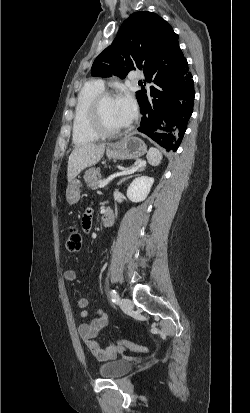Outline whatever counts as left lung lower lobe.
<instances>
[{
  "label": "left lung lower lobe",
  "instance_id": "1",
  "mask_svg": "<svg viewBox=\"0 0 250 413\" xmlns=\"http://www.w3.org/2000/svg\"><path fill=\"white\" fill-rule=\"evenodd\" d=\"M146 80L151 86L136 94L143 115L138 131L175 152L187 129L195 96L178 36L159 42L156 66L146 74Z\"/></svg>",
  "mask_w": 250,
  "mask_h": 413
}]
</instances>
